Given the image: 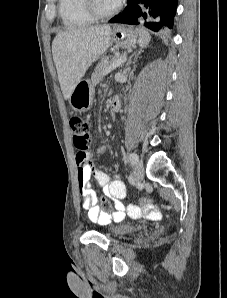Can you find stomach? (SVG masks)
Listing matches in <instances>:
<instances>
[{"label":"stomach","instance_id":"1","mask_svg":"<svg viewBox=\"0 0 227 298\" xmlns=\"http://www.w3.org/2000/svg\"><path fill=\"white\" fill-rule=\"evenodd\" d=\"M111 41L121 48L129 49L139 42V34L137 30L116 26L112 31ZM94 92V86L88 80H81L70 95L71 107L77 112L88 111L92 106Z\"/></svg>","mask_w":227,"mask_h":298}]
</instances>
